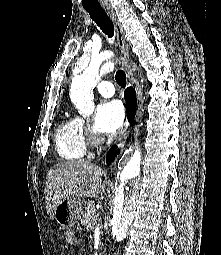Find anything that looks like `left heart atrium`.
Masks as SVG:
<instances>
[{
	"label": "left heart atrium",
	"mask_w": 221,
	"mask_h": 255,
	"mask_svg": "<svg viewBox=\"0 0 221 255\" xmlns=\"http://www.w3.org/2000/svg\"><path fill=\"white\" fill-rule=\"evenodd\" d=\"M123 120L124 111L120 102H104L96 110L94 126L101 134H113L121 127Z\"/></svg>",
	"instance_id": "obj_1"
}]
</instances>
